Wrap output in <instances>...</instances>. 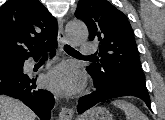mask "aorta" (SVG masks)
Segmentation results:
<instances>
[{
  "label": "aorta",
  "mask_w": 165,
  "mask_h": 120,
  "mask_svg": "<svg viewBox=\"0 0 165 120\" xmlns=\"http://www.w3.org/2000/svg\"><path fill=\"white\" fill-rule=\"evenodd\" d=\"M66 33L73 44H79L88 38L86 25L79 20L69 21L66 25Z\"/></svg>",
  "instance_id": "1"
}]
</instances>
